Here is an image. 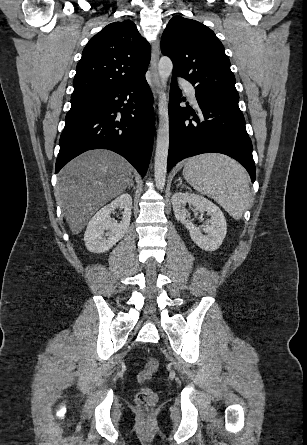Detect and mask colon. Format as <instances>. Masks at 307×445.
Here are the masks:
<instances>
[{
  "label": "colon",
  "instance_id": "obj_1",
  "mask_svg": "<svg viewBox=\"0 0 307 445\" xmlns=\"http://www.w3.org/2000/svg\"><path fill=\"white\" fill-rule=\"evenodd\" d=\"M157 368L158 362L155 359L148 360L143 369L137 375L138 382L142 384L151 379ZM136 402L139 407L143 409H150L157 402V394L153 389L143 387L136 395Z\"/></svg>",
  "mask_w": 307,
  "mask_h": 445
}]
</instances>
